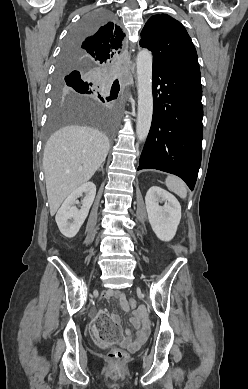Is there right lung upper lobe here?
<instances>
[{
  "instance_id": "1",
  "label": "right lung upper lobe",
  "mask_w": 248,
  "mask_h": 389,
  "mask_svg": "<svg viewBox=\"0 0 248 389\" xmlns=\"http://www.w3.org/2000/svg\"><path fill=\"white\" fill-rule=\"evenodd\" d=\"M124 36L123 30L116 23L101 25L94 33L62 51L60 59H63V67L71 62L93 68L109 65L111 58L120 53ZM114 84H118V81L115 80Z\"/></svg>"
}]
</instances>
